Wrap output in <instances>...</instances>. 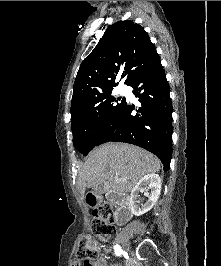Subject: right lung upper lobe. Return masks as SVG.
<instances>
[{
    "label": "right lung upper lobe",
    "instance_id": "cb5924a9",
    "mask_svg": "<svg viewBox=\"0 0 221 266\" xmlns=\"http://www.w3.org/2000/svg\"><path fill=\"white\" fill-rule=\"evenodd\" d=\"M160 61L156 48L144 28L133 21L109 26L96 47L78 70L71 102V118L85 111L98 95L110 91L126 77L129 85L138 74Z\"/></svg>",
    "mask_w": 221,
    "mask_h": 266
}]
</instances>
